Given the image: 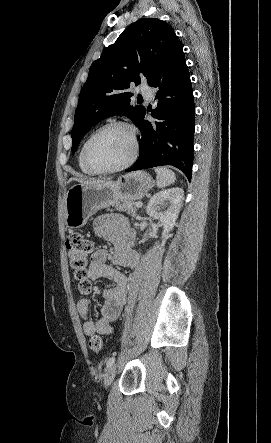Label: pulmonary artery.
Instances as JSON below:
<instances>
[{
  "instance_id": "e3ab8cb5",
  "label": "pulmonary artery",
  "mask_w": 271,
  "mask_h": 443,
  "mask_svg": "<svg viewBox=\"0 0 271 443\" xmlns=\"http://www.w3.org/2000/svg\"><path fill=\"white\" fill-rule=\"evenodd\" d=\"M142 94L146 100L150 101L154 97V90L153 89H146V90L142 91Z\"/></svg>"
}]
</instances>
